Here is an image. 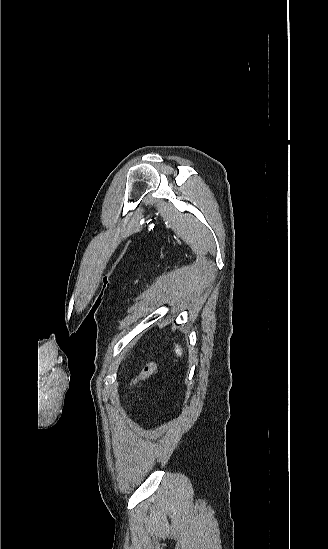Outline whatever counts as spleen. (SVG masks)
I'll return each instance as SVG.
<instances>
[{"label":"spleen","instance_id":"1","mask_svg":"<svg viewBox=\"0 0 328 549\" xmlns=\"http://www.w3.org/2000/svg\"><path fill=\"white\" fill-rule=\"evenodd\" d=\"M175 353H176L177 357H181L182 349H181L180 345H175Z\"/></svg>","mask_w":328,"mask_h":549}]
</instances>
